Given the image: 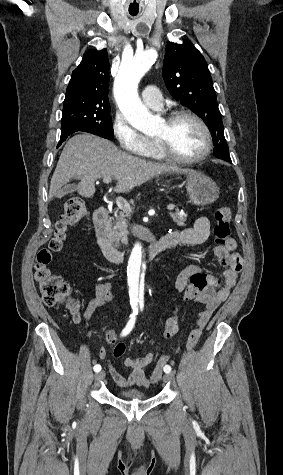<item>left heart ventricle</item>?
I'll return each instance as SVG.
<instances>
[{"label": "left heart ventricle", "instance_id": "obj_1", "mask_svg": "<svg viewBox=\"0 0 283 475\" xmlns=\"http://www.w3.org/2000/svg\"><path fill=\"white\" fill-rule=\"evenodd\" d=\"M154 138L165 140L168 153L180 158L199 154L205 143L203 129L189 117L178 119L170 127L165 120Z\"/></svg>", "mask_w": 283, "mask_h": 475}]
</instances>
